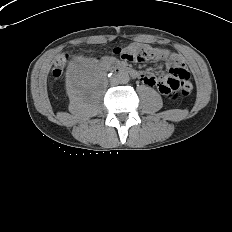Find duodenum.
Returning a JSON list of instances; mask_svg holds the SVG:
<instances>
[{
	"label": "duodenum",
	"instance_id": "1",
	"mask_svg": "<svg viewBox=\"0 0 232 232\" xmlns=\"http://www.w3.org/2000/svg\"><path fill=\"white\" fill-rule=\"evenodd\" d=\"M111 68H112L113 73L115 74L125 73V74H129L130 76L134 78L138 77V72L135 69L130 68L125 64H120V63H116L112 61Z\"/></svg>",
	"mask_w": 232,
	"mask_h": 232
}]
</instances>
